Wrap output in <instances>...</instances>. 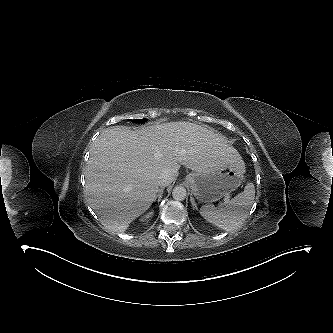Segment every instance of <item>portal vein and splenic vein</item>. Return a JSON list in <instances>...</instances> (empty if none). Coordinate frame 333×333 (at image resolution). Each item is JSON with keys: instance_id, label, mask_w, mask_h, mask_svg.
I'll list each match as a JSON object with an SVG mask.
<instances>
[{"instance_id": "portal-vein-and-splenic-vein-1", "label": "portal vein and splenic vein", "mask_w": 333, "mask_h": 333, "mask_svg": "<svg viewBox=\"0 0 333 333\" xmlns=\"http://www.w3.org/2000/svg\"><path fill=\"white\" fill-rule=\"evenodd\" d=\"M228 202V200L226 199L225 201H224V203H227Z\"/></svg>"}]
</instances>
